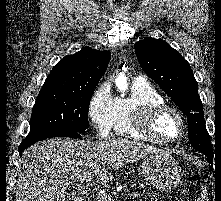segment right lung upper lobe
<instances>
[{"instance_id":"1","label":"right lung upper lobe","mask_w":221,"mask_h":201,"mask_svg":"<svg viewBox=\"0 0 221 201\" xmlns=\"http://www.w3.org/2000/svg\"><path fill=\"white\" fill-rule=\"evenodd\" d=\"M111 54L85 47L64 57L51 70L41 90L85 93L93 91L105 73Z\"/></svg>"}]
</instances>
